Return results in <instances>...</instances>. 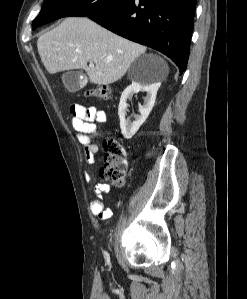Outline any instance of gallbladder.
I'll use <instances>...</instances> for the list:
<instances>
[{"label": "gallbladder", "instance_id": "obj_1", "mask_svg": "<svg viewBox=\"0 0 247 299\" xmlns=\"http://www.w3.org/2000/svg\"><path fill=\"white\" fill-rule=\"evenodd\" d=\"M62 82L69 92H76L87 83L86 76L81 71H67L62 74Z\"/></svg>", "mask_w": 247, "mask_h": 299}]
</instances>
